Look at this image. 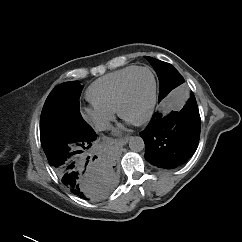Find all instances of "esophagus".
Instances as JSON below:
<instances>
[{"instance_id":"34e87169","label":"esophagus","mask_w":242,"mask_h":242,"mask_svg":"<svg viewBox=\"0 0 242 242\" xmlns=\"http://www.w3.org/2000/svg\"><path fill=\"white\" fill-rule=\"evenodd\" d=\"M129 139H130V137L127 136V137H125L123 139L118 140V145L119 146H125L128 143Z\"/></svg>"}]
</instances>
